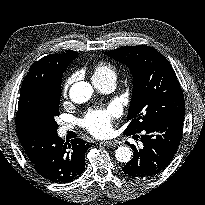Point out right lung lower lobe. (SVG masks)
<instances>
[{
    "label": "right lung lower lobe",
    "instance_id": "98d812e1",
    "mask_svg": "<svg viewBox=\"0 0 205 205\" xmlns=\"http://www.w3.org/2000/svg\"><path fill=\"white\" fill-rule=\"evenodd\" d=\"M19 141L32 164L42 177L55 183H68L85 169V153L91 143L80 138L64 142L57 133H29Z\"/></svg>",
    "mask_w": 205,
    "mask_h": 205
}]
</instances>
